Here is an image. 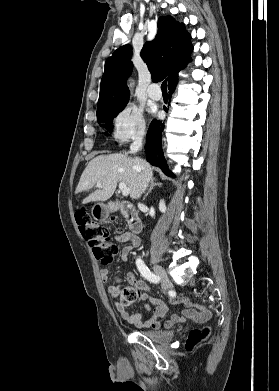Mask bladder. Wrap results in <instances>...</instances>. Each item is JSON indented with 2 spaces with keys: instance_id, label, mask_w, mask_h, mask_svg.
Returning a JSON list of instances; mask_svg holds the SVG:
<instances>
[{
  "instance_id": "31cf9c89",
  "label": "bladder",
  "mask_w": 279,
  "mask_h": 391,
  "mask_svg": "<svg viewBox=\"0 0 279 391\" xmlns=\"http://www.w3.org/2000/svg\"><path fill=\"white\" fill-rule=\"evenodd\" d=\"M141 334L152 342L158 344L169 343L175 336V331L144 330Z\"/></svg>"
}]
</instances>
